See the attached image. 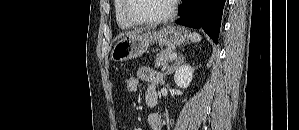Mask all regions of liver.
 Wrapping results in <instances>:
<instances>
[{"label": "liver", "instance_id": "obj_1", "mask_svg": "<svg viewBox=\"0 0 299 130\" xmlns=\"http://www.w3.org/2000/svg\"><path fill=\"white\" fill-rule=\"evenodd\" d=\"M138 32H140V31H135V33H138Z\"/></svg>", "mask_w": 299, "mask_h": 130}]
</instances>
